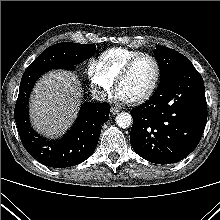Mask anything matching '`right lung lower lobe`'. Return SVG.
<instances>
[{"instance_id": "1", "label": "right lung lower lobe", "mask_w": 220, "mask_h": 220, "mask_svg": "<svg viewBox=\"0 0 220 220\" xmlns=\"http://www.w3.org/2000/svg\"><path fill=\"white\" fill-rule=\"evenodd\" d=\"M73 69V68H69ZM50 69H27L21 79L14 118L23 146L40 163L54 168L75 166L95 151L102 125L109 119L107 103L86 102L71 129L59 140H47L30 126L29 95L37 79Z\"/></svg>"}]
</instances>
